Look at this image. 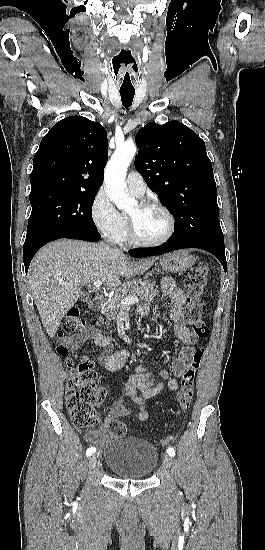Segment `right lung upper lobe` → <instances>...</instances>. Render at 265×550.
Returning a JSON list of instances; mask_svg holds the SVG:
<instances>
[{
	"label": "right lung upper lobe",
	"instance_id": "cb5924a9",
	"mask_svg": "<svg viewBox=\"0 0 265 550\" xmlns=\"http://www.w3.org/2000/svg\"><path fill=\"white\" fill-rule=\"evenodd\" d=\"M105 129L81 116L60 120L34 155L31 191L97 193L108 159Z\"/></svg>",
	"mask_w": 265,
	"mask_h": 550
}]
</instances>
